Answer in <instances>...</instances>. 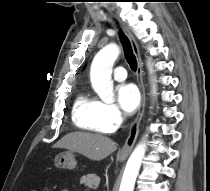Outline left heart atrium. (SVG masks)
I'll return each instance as SVG.
<instances>
[{
	"label": "left heart atrium",
	"mask_w": 210,
	"mask_h": 191,
	"mask_svg": "<svg viewBox=\"0 0 210 191\" xmlns=\"http://www.w3.org/2000/svg\"><path fill=\"white\" fill-rule=\"evenodd\" d=\"M118 102L122 110L131 114L140 104V93L133 84H122L117 89Z\"/></svg>",
	"instance_id": "obj_1"
}]
</instances>
